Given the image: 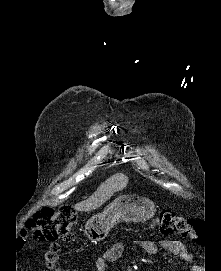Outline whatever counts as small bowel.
I'll return each mask as SVG.
<instances>
[{
  "label": "small bowel",
  "mask_w": 221,
  "mask_h": 271,
  "mask_svg": "<svg viewBox=\"0 0 221 271\" xmlns=\"http://www.w3.org/2000/svg\"><path fill=\"white\" fill-rule=\"evenodd\" d=\"M145 253L149 255L156 254L159 247L178 256L183 262L190 264L192 255L184 244L175 239H162L158 243L152 240L135 241ZM125 245L122 242H117L108 248L99 256L95 262L97 271H106L108 263L119 260L123 254Z\"/></svg>",
  "instance_id": "obj_1"
}]
</instances>
